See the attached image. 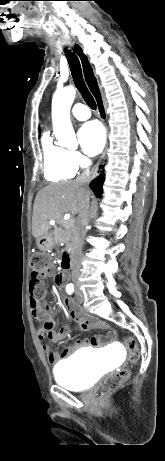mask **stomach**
Returning <instances> with one entry per match:
<instances>
[{
  "label": "stomach",
  "mask_w": 165,
  "mask_h": 461,
  "mask_svg": "<svg viewBox=\"0 0 165 461\" xmlns=\"http://www.w3.org/2000/svg\"><path fill=\"white\" fill-rule=\"evenodd\" d=\"M36 244L37 247L42 251L51 249L53 244L52 233L46 232L45 234H43L41 237L37 239Z\"/></svg>",
  "instance_id": "obj_1"
}]
</instances>
